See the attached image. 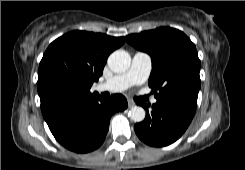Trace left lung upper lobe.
I'll use <instances>...</instances> for the list:
<instances>
[{"mask_svg": "<svg viewBox=\"0 0 245 170\" xmlns=\"http://www.w3.org/2000/svg\"><path fill=\"white\" fill-rule=\"evenodd\" d=\"M126 40L151 56L149 86L156 93L157 100L197 106L200 60L195 45L182 31L160 27L128 35Z\"/></svg>", "mask_w": 245, "mask_h": 170, "instance_id": "5c2ea615", "label": "left lung upper lobe"}]
</instances>
